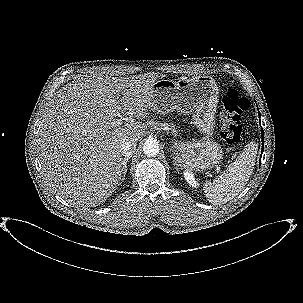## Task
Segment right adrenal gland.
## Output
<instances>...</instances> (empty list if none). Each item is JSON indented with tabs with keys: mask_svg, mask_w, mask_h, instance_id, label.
<instances>
[{
	"mask_svg": "<svg viewBox=\"0 0 303 303\" xmlns=\"http://www.w3.org/2000/svg\"><path fill=\"white\" fill-rule=\"evenodd\" d=\"M131 158V156H127L126 158H124L123 160V168H122V178H121V181L124 180L125 178V175L127 173V163H128V160Z\"/></svg>",
	"mask_w": 303,
	"mask_h": 303,
	"instance_id": "2a0ac1e0",
	"label": "right adrenal gland"
}]
</instances>
